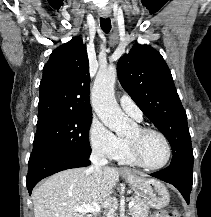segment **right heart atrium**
Listing matches in <instances>:
<instances>
[{
  "label": "right heart atrium",
  "instance_id": "right-heart-atrium-1",
  "mask_svg": "<svg viewBox=\"0 0 211 217\" xmlns=\"http://www.w3.org/2000/svg\"><path fill=\"white\" fill-rule=\"evenodd\" d=\"M89 140L94 152L111 160L118 157L124 145L122 138L114 134L97 119L91 122Z\"/></svg>",
  "mask_w": 211,
  "mask_h": 217
}]
</instances>
